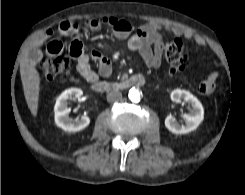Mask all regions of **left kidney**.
Wrapping results in <instances>:
<instances>
[{
    "mask_svg": "<svg viewBox=\"0 0 245 195\" xmlns=\"http://www.w3.org/2000/svg\"><path fill=\"white\" fill-rule=\"evenodd\" d=\"M172 101L183 100L191 107L189 114H184L185 124H179L170 114L165 119L166 128L174 134H186L195 130L204 119V109L201 102L189 91L175 89L171 92Z\"/></svg>",
    "mask_w": 245,
    "mask_h": 195,
    "instance_id": "obj_1",
    "label": "left kidney"
}]
</instances>
